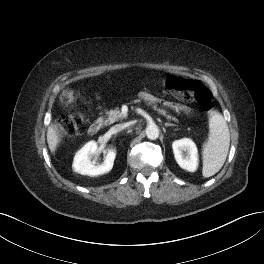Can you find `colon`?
Listing matches in <instances>:
<instances>
[{"label": "colon", "mask_w": 264, "mask_h": 264, "mask_svg": "<svg viewBox=\"0 0 264 264\" xmlns=\"http://www.w3.org/2000/svg\"><path fill=\"white\" fill-rule=\"evenodd\" d=\"M165 86L183 101L196 102L203 110L212 109V96L210 91L201 83L181 77H168ZM77 98L73 90H66L62 95V102L71 106ZM85 130L84 117L81 114L66 115L59 124V134L62 140H69L72 137L83 133Z\"/></svg>", "instance_id": "colon-1"}]
</instances>
